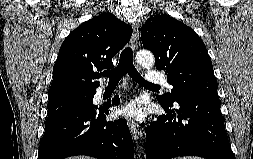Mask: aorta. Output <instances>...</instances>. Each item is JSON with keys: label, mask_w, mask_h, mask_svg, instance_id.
I'll list each match as a JSON object with an SVG mask.
<instances>
[{"label": "aorta", "mask_w": 253, "mask_h": 159, "mask_svg": "<svg viewBox=\"0 0 253 159\" xmlns=\"http://www.w3.org/2000/svg\"><path fill=\"white\" fill-rule=\"evenodd\" d=\"M136 60L143 67H150L154 64V56L148 51L138 52L136 55Z\"/></svg>", "instance_id": "1"}]
</instances>
